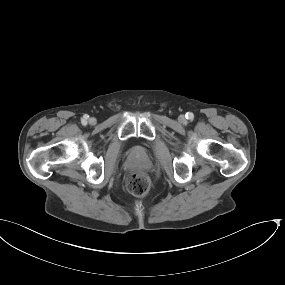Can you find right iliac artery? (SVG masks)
<instances>
[{
    "label": "right iliac artery",
    "instance_id": "82829eb1",
    "mask_svg": "<svg viewBox=\"0 0 285 285\" xmlns=\"http://www.w3.org/2000/svg\"><path fill=\"white\" fill-rule=\"evenodd\" d=\"M88 117H89V116L86 115V114L83 116V118H82V120H81L83 125L86 124Z\"/></svg>",
    "mask_w": 285,
    "mask_h": 285
}]
</instances>
